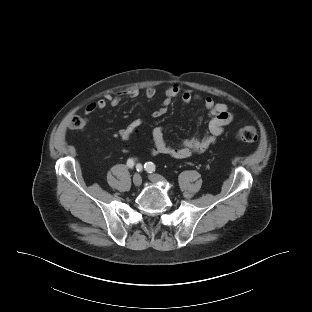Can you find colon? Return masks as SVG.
<instances>
[{"label":"colon","instance_id":"5ec220e1","mask_svg":"<svg viewBox=\"0 0 312 312\" xmlns=\"http://www.w3.org/2000/svg\"><path fill=\"white\" fill-rule=\"evenodd\" d=\"M86 125V120L78 115L70 118L69 126L73 129H82ZM236 138L242 142L252 143L257 140V129L252 125L242 126L236 132Z\"/></svg>","mask_w":312,"mask_h":312}]
</instances>
